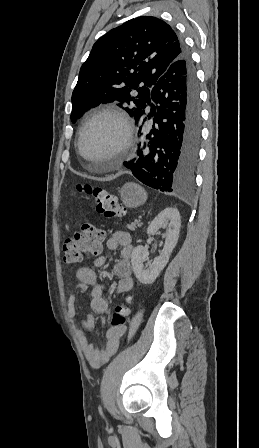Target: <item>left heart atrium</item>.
<instances>
[{"label":"left heart atrium","instance_id":"1","mask_svg":"<svg viewBox=\"0 0 259 448\" xmlns=\"http://www.w3.org/2000/svg\"><path fill=\"white\" fill-rule=\"evenodd\" d=\"M153 154H154V151H153V150H149V151L147 152V156H148V158H151Z\"/></svg>","mask_w":259,"mask_h":448}]
</instances>
